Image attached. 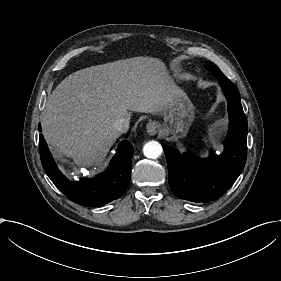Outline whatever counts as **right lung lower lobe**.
Masks as SVG:
<instances>
[{
	"label": "right lung lower lobe",
	"instance_id": "98d812e1",
	"mask_svg": "<svg viewBox=\"0 0 281 281\" xmlns=\"http://www.w3.org/2000/svg\"><path fill=\"white\" fill-rule=\"evenodd\" d=\"M39 152L42 166L51 181L67 198L82 206H102L119 198L130 181L133 146L128 141L119 144L106 172L79 182L69 181L60 172L42 134L39 135Z\"/></svg>",
	"mask_w": 281,
	"mask_h": 281
}]
</instances>
